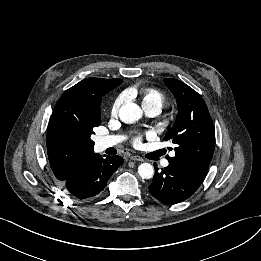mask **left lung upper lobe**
Here are the masks:
<instances>
[{"label":"left lung upper lobe","mask_w":261,"mask_h":261,"mask_svg":"<svg viewBox=\"0 0 261 261\" xmlns=\"http://www.w3.org/2000/svg\"><path fill=\"white\" fill-rule=\"evenodd\" d=\"M164 82L178 104L176 122L164 137L166 141L175 144L176 155L167 156V159L169 164L200 185L214 153L215 131L212 119L204 100L195 90L179 80L165 78Z\"/></svg>","instance_id":"5c2ea615"}]
</instances>
